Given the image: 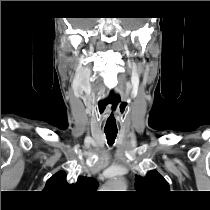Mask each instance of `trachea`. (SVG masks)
<instances>
[{
  "label": "trachea",
  "instance_id": "1",
  "mask_svg": "<svg viewBox=\"0 0 210 210\" xmlns=\"http://www.w3.org/2000/svg\"><path fill=\"white\" fill-rule=\"evenodd\" d=\"M107 141L109 145H113L114 140L117 136V131H105Z\"/></svg>",
  "mask_w": 210,
  "mask_h": 210
}]
</instances>
